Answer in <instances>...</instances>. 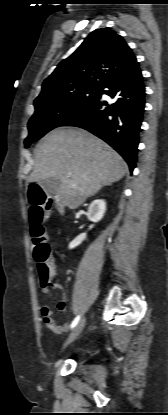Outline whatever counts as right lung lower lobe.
<instances>
[{
  "instance_id": "obj_1",
  "label": "right lung lower lobe",
  "mask_w": 168,
  "mask_h": 415,
  "mask_svg": "<svg viewBox=\"0 0 168 415\" xmlns=\"http://www.w3.org/2000/svg\"><path fill=\"white\" fill-rule=\"evenodd\" d=\"M102 94L114 98L115 102L108 104L100 97L63 126L80 127L98 136L113 147L133 171L145 107V87L138 63L108 82Z\"/></svg>"
}]
</instances>
